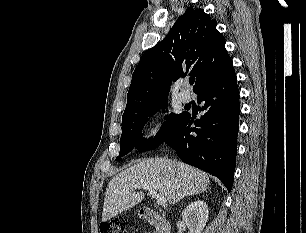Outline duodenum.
Segmentation results:
<instances>
[{
  "instance_id": "duodenum-1",
  "label": "duodenum",
  "mask_w": 306,
  "mask_h": 233,
  "mask_svg": "<svg viewBox=\"0 0 306 233\" xmlns=\"http://www.w3.org/2000/svg\"><path fill=\"white\" fill-rule=\"evenodd\" d=\"M141 215L147 223L155 227L156 233H171V226L168 220L160 216L153 209L144 207L141 210Z\"/></svg>"
}]
</instances>
